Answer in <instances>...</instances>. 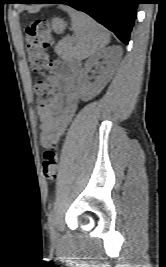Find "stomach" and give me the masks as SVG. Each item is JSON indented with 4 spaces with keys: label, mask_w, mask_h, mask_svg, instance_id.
Instances as JSON below:
<instances>
[{
    "label": "stomach",
    "mask_w": 166,
    "mask_h": 267,
    "mask_svg": "<svg viewBox=\"0 0 166 267\" xmlns=\"http://www.w3.org/2000/svg\"><path fill=\"white\" fill-rule=\"evenodd\" d=\"M52 29L56 33H62L65 29L64 21L60 18H54L52 20Z\"/></svg>",
    "instance_id": "stomach-1"
}]
</instances>
